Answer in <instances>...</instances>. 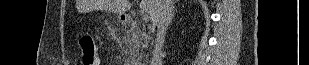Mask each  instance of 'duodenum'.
I'll return each mask as SVG.
<instances>
[{"label":"duodenum","instance_id":"410a0bca","mask_svg":"<svg viewBox=\"0 0 309 65\" xmlns=\"http://www.w3.org/2000/svg\"><path fill=\"white\" fill-rule=\"evenodd\" d=\"M124 22H125L126 24H132V23H133V18L130 17V16H125V17H124Z\"/></svg>","mask_w":309,"mask_h":65}]
</instances>
